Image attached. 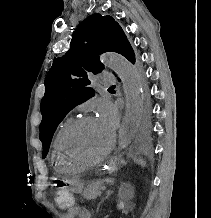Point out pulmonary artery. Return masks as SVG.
<instances>
[{"label": "pulmonary artery", "instance_id": "obj_1", "mask_svg": "<svg viewBox=\"0 0 211 218\" xmlns=\"http://www.w3.org/2000/svg\"><path fill=\"white\" fill-rule=\"evenodd\" d=\"M99 78L102 80L103 85H117V76L112 74H100Z\"/></svg>", "mask_w": 211, "mask_h": 218}]
</instances>
